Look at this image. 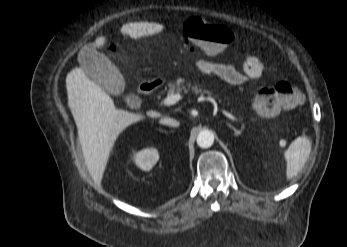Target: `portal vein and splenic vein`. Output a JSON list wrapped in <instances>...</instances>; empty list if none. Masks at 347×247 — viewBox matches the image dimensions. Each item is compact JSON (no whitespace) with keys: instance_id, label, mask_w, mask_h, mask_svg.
Wrapping results in <instances>:
<instances>
[{"instance_id":"1","label":"portal vein and splenic vein","mask_w":347,"mask_h":247,"mask_svg":"<svg viewBox=\"0 0 347 247\" xmlns=\"http://www.w3.org/2000/svg\"><path fill=\"white\" fill-rule=\"evenodd\" d=\"M182 99V95L181 94H179V93H176V94H171V95H168L165 99H164V101H163V103H164V105H166V106H171V105H174V104H176L179 100H181ZM208 100H210V101H213L212 99H208ZM222 112H223V114L226 116V117H228V118H231L232 117V115L229 113V112H227V111H225V110H222Z\"/></svg>"}]
</instances>
